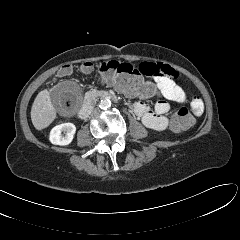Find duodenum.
Returning a JSON list of instances; mask_svg holds the SVG:
<instances>
[{"label": "duodenum", "mask_w": 240, "mask_h": 240, "mask_svg": "<svg viewBox=\"0 0 240 240\" xmlns=\"http://www.w3.org/2000/svg\"><path fill=\"white\" fill-rule=\"evenodd\" d=\"M113 98H114L113 94H111L110 92H107V91L90 93L87 96L82 108L80 109V111L78 113L79 117L84 119L88 116V114L91 110V107L96 99H113Z\"/></svg>", "instance_id": "410a0bca"}]
</instances>
